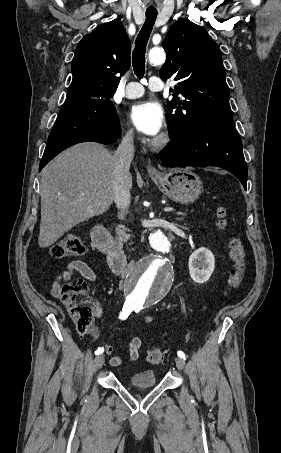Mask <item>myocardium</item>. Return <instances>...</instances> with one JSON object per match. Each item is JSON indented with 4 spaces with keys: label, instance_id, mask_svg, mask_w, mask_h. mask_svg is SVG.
I'll return each mask as SVG.
<instances>
[{
    "label": "myocardium",
    "instance_id": "obj_1",
    "mask_svg": "<svg viewBox=\"0 0 281 453\" xmlns=\"http://www.w3.org/2000/svg\"><path fill=\"white\" fill-rule=\"evenodd\" d=\"M171 141L170 133L166 130L150 142L153 148L165 147Z\"/></svg>",
    "mask_w": 281,
    "mask_h": 453
}]
</instances>
